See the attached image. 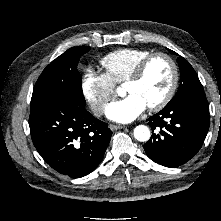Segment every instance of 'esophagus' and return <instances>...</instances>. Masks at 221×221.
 I'll return each mask as SVG.
<instances>
[{"mask_svg":"<svg viewBox=\"0 0 221 221\" xmlns=\"http://www.w3.org/2000/svg\"><path fill=\"white\" fill-rule=\"evenodd\" d=\"M109 128H110L112 131H114V130H118V129H124V128H126V126L110 124V125H109Z\"/></svg>","mask_w":221,"mask_h":221,"instance_id":"34e87169","label":"esophagus"}]
</instances>
